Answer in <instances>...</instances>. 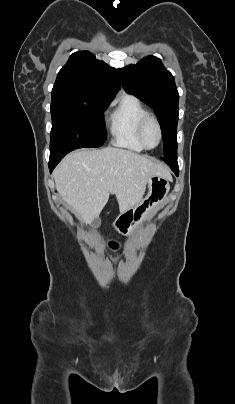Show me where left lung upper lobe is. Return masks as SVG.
I'll return each instance as SVG.
<instances>
[{"instance_id": "1", "label": "left lung upper lobe", "mask_w": 235, "mask_h": 404, "mask_svg": "<svg viewBox=\"0 0 235 404\" xmlns=\"http://www.w3.org/2000/svg\"><path fill=\"white\" fill-rule=\"evenodd\" d=\"M118 74L124 90L140 98L156 112L162 130V158L177 160L179 94L173 75L154 56L118 69Z\"/></svg>"}]
</instances>
